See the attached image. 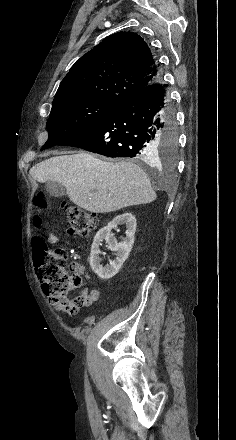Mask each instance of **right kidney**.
I'll list each match as a JSON object with an SVG mask.
<instances>
[{"label":"right kidney","mask_w":236,"mask_h":440,"mask_svg":"<svg viewBox=\"0 0 236 440\" xmlns=\"http://www.w3.org/2000/svg\"><path fill=\"white\" fill-rule=\"evenodd\" d=\"M118 225H125L126 227V237L123 238V241L120 243H118L117 239L111 233V230ZM136 225L137 223L134 215L131 213H123L116 216L106 227L97 232L91 246L90 266L99 278L107 280L118 273L132 249ZM103 239L107 241L109 249L116 252V258L113 261H110V264L105 267L100 264L101 259L99 258V246Z\"/></svg>","instance_id":"ca27d5eb"}]
</instances>
